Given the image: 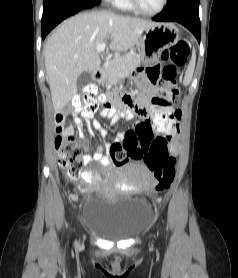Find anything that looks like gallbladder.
Instances as JSON below:
<instances>
[{
  "instance_id": "gallbladder-1",
  "label": "gallbladder",
  "mask_w": 238,
  "mask_h": 278,
  "mask_svg": "<svg viewBox=\"0 0 238 278\" xmlns=\"http://www.w3.org/2000/svg\"><path fill=\"white\" fill-rule=\"evenodd\" d=\"M92 82V74L90 72H83L78 77L77 87L82 88Z\"/></svg>"
}]
</instances>
